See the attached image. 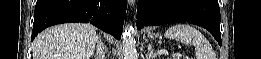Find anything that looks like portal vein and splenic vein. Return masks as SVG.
Here are the masks:
<instances>
[{"instance_id":"1","label":"portal vein and splenic vein","mask_w":261,"mask_h":59,"mask_svg":"<svg viewBox=\"0 0 261 59\" xmlns=\"http://www.w3.org/2000/svg\"><path fill=\"white\" fill-rule=\"evenodd\" d=\"M159 54H168L167 50H160Z\"/></svg>"}]
</instances>
